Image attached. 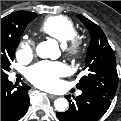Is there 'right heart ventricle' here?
<instances>
[{
	"instance_id": "e07e8e85",
	"label": "right heart ventricle",
	"mask_w": 121,
	"mask_h": 121,
	"mask_svg": "<svg viewBox=\"0 0 121 121\" xmlns=\"http://www.w3.org/2000/svg\"><path fill=\"white\" fill-rule=\"evenodd\" d=\"M40 31L56 40L62 45L77 37L76 25L64 16H51L46 18L39 27Z\"/></svg>"
}]
</instances>
